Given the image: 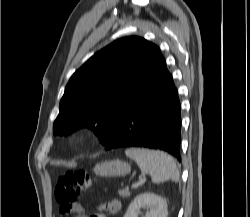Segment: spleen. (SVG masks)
<instances>
[{"label": "spleen", "instance_id": "3e777b00", "mask_svg": "<svg viewBox=\"0 0 250 217\" xmlns=\"http://www.w3.org/2000/svg\"><path fill=\"white\" fill-rule=\"evenodd\" d=\"M125 154L137 163L143 173L150 174L154 183L168 180L177 182L179 180L176 162L165 152L144 148H128L125 150Z\"/></svg>", "mask_w": 250, "mask_h": 217}]
</instances>
